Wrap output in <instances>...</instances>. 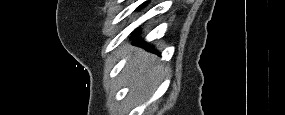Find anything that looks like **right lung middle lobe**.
I'll list each match as a JSON object with an SVG mask.
<instances>
[{
	"label": "right lung middle lobe",
	"mask_w": 285,
	"mask_h": 115,
	"mask_svg": "<svg viewBox=\"0 0 285 115\" xmlns=\"http://www.w3.org/2000/svg\"><path fill=\"white\" fill-rule=\"evenodd\" d=\"M147 2L143 3L142 5H140L137 9L141 8L142 6L146 5Z\"/></svg>",
	"instance_id": "right-lung-middle-lobe-1"
}]
</instances>
